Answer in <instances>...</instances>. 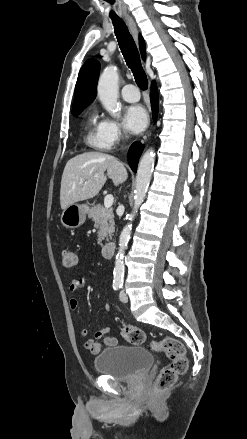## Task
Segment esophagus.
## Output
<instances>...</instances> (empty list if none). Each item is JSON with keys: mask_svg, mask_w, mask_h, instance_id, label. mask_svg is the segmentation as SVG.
Wrapping results in <instances>:
<instances>
[{"mask_svg": "<svg viewBox=\"0 0 247 439\" xmlns=\"http://www.w3.org/2000/svg\"><path fill=\"white\" fill-rule=\"evenodd\" d=\"M125 20L134 36V38L137 40L138 39V29L137 26L133 20V18L129 15L125 16Z\"/></svg>", "mask_w": 247, "mask_h": 439, "instance_id": "1", "label": "esophagus"}]
</instances>
